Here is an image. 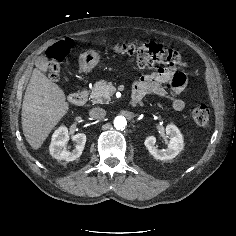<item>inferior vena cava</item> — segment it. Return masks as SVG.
Returning <instances> with one entry per match:
<instances>
[{
    "mask_svg": "<svg viewBox=\"0 0 236 236\" xmlns=\"http://www.w3.org/2000/svg\"><path fill=\"white\" fill-rule=\"evenodd\" d=\"M89 116L93 119H103L106 116V111L103 108L95 107L89 111Z\"/></svg>",
    "mask_w": 236,
    "mask_h": 236,
    "instance_id": "obj_1",
    "label": "inferior vena cava"
}]
</instances>
